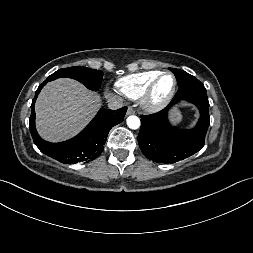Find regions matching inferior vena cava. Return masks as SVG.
<instances>
[{"label": "inferior vena cava", "mask_w": 253, "mask_h": 253, "mask_svg": "<svg viewBox=\"0 0 253 253\" xmlns=\"http://www.w3.org/2000/svg\"><path fill=\"white\" fill-rule=\"evenodd\" d=\"M108 107L109 109L115 110L118 108H121L123 106V102L116 98V97H110L107 99Z\"/></svg>", "instance_id": "inferior-vena-cava-1"}]
</instances>
